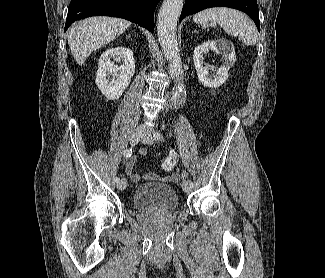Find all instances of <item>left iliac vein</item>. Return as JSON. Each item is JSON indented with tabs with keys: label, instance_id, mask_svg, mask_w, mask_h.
Returning <instances> with one entry per match:
<instances>
[{
	"label": "left iliac vein",
	"instance_id": "1",
	"mask_svg": "<svg viewBox=\"0 0 325 278\" xmlns=\"http://www.w3.org/2000/svg\"><path fill=\"white\" fill-rule=\"evenodd\" d=\"M141 142L145 144H153L154 140L150 131L145 130L143 136L141 137ZM182 189L185 193H190L192 191V187H190L187 181L182 182Z\"/></svg>",
	"mask_w": 325,
	"mask_h": 278
}]
</instances>
